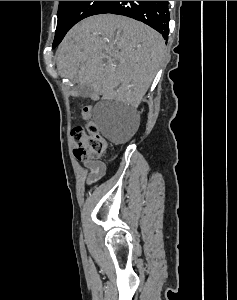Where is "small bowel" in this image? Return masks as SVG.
Wrapping results in <instances>:
<instances>
[{
  "mask_svg": "<svg viewBox=\"0 0 237 300\" xmlns=\"http://www.w3.org/2000/svg\"><path fill=\"white\" fill-rule=\"evenodd\" d=\"M83 117L87 119V116L83 113ZM84 166L88 170L86 175V183L93 184L100 180L105 174V165L101 161H84Z\"/></svg>",
  "mask_w": 237,
  "mask_h": 300,
  "instance_id": "obj_1",
  "label": "small bowel"
}]
</instances>
